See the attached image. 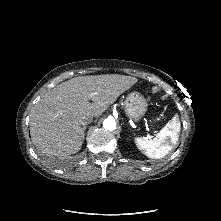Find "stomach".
Wrapping results in <instances>:
<instances>
[{"label": "stomach", "mask_w": 221, "mask_h": 221, "mask_svg": "<svg viewBox=\"0 0 221 221\" xmlns=\"http://www.w3.org/2000/svg\"><path fill=\"white\" fill-rule=\"evenodd\" d=\"M147 106L148 104L144 96L134 91L127 95L124 110L129 119L139 122L146 113Z\"/></svg>", "instance_id": "0dacf381"}]
</instances>
